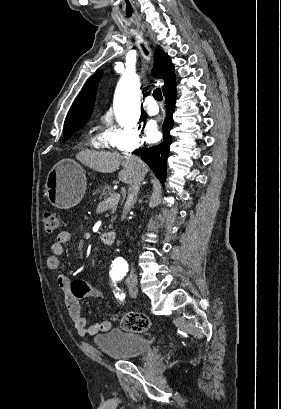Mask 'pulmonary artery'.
I'll return each mask as SVG.
<instances>
[{"instance_id":"pulmonary-artery-1","label":"pulmonary artery","mask_w":281,"mask_h":409,"mask_svg":"<svg viewBox=\"0 0 281 409\" xmlns=\"http://www.w3.org/2000/svg\"><path fill=\"white\" fill-rule=\"evenodd\" d=\"M144 110L147 111L150 115H156L159 112L157 102H145Z\"/></svg>"}]
</instances>
